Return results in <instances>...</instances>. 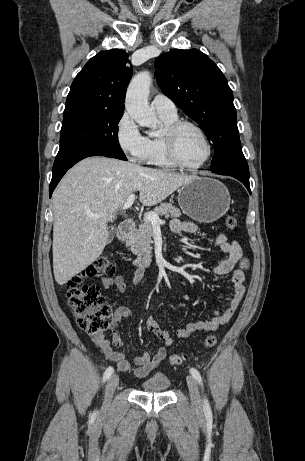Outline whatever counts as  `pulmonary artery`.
Returning a JSON list of instances; mask_svg holds the SVG:
<instances>
[{
  "label": "pulmonary artery",
  "instance_id": "e3ab8cb5",
  "mask_svg": "<svg viewBox=\"0 0 305 461\" xmlns=\"http://www.w3.org/2000/svg\"><path fill=\"white\" fill-rule=\"evenodd\" d=\"M152 106L158 114L177 115L174 102L162 93H158L153 97Z\"/></svg>",
  "mask_w": 305,
  "mask_h": 461
}]
</instances>
